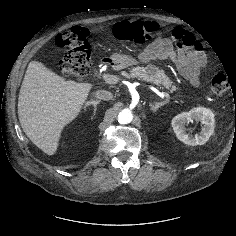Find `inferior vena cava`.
<instances>
[{"label": "inferior vena cava", "instance_id": "obj_1", "mask_svg": "<svg viewBox=\"0 0 236 236\" xmlns=\"http://www.w3.org/2000/svg\"><path fill=\"white\" fill-rule=\"evenodd\" d=\"M95 97L100 100L109 101L113 98V94L106 90H98L95 93Z\"/></svg>", "mask_w": 236, "mask_h": 236}]
</instances>
